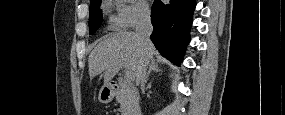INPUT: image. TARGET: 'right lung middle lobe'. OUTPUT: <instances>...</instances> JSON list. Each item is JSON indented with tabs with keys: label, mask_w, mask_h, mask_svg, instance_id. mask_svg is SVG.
<instances>
[{
	"label": "right lung middle lobe",
	"mask_w": 285,
	"mask_h": 115,
	"mask_svg": "<svg viewBox=\"0 0 285 115\" xmlns=\"http://www.w3.org/2000/svg\"><path fill=\"white\" fill-rule=\"evenodd\" d=\"M102 0H94L90 3L89 9V33L93 34L100 27L102 21V12L100 4Z\"/></svg>",
	"instance_id": "1"
}]
</instances>
